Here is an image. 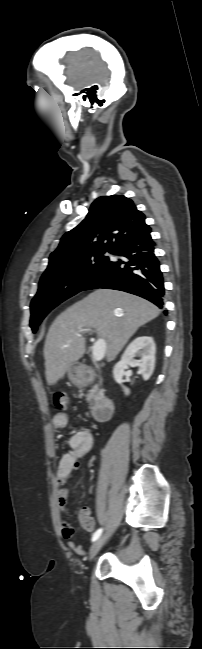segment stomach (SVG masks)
Segmentation results:
<instances>
[{
	"label": "stomach",
	"mask_w": 202,
	"mask_h": 649,
	"mask_svg": "<svg viewBox=\"0 0 202 649\" xmlns=\"http://www.w3.org/2000/svg\"><path fill=\"white\" fill-rule=\"evenodd\" d=\"M69 380L74 384H80L82 381V375L79 368L75 365H72L67 370Z\"/></svg>",
	"instance_id": "stomach-1"
}]
</instances>
